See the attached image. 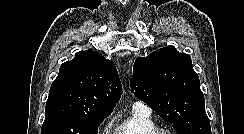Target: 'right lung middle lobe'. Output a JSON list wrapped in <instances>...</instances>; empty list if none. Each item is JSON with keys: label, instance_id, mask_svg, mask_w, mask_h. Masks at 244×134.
<instances>
[{"label": "right lung middle lobe", "instance_id": "dd1d6c3e", "mask_svg": "<svg viewBox=\"0 0 244 134\" xmlns=\"http://www.w3.org/2000/svg\"><path fill=\"white\" fill-rule=\"evenodd\" d=\"M105 117L82 115L59 106L46 107L41 134H97Z\"/></svg>", "mask_w": 244, "mask_h": 134}]
</instances>
